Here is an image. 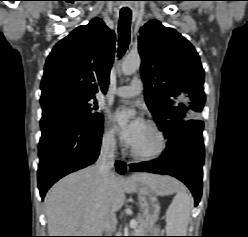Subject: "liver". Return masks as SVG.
<instances>
[{"mask_svg": "<svg viewBox=\"0 0 248 237\" xmlns=\"http://www.w3.org/2000/svg\"><path fill=\"white\" fill-rule=\"evenodd\" d=\"M167 184L178 185L167 176L136 173L121 177L112 172L104 182L96 166H89L58 181L45 197L49 236H100L109 212L119 210L125 193L141 185L160 192Z\"/></svg>", "mask_w": 248, "mask_h": 237, "instance_id": "obj_1", "label": "liver"}]
</instances>
